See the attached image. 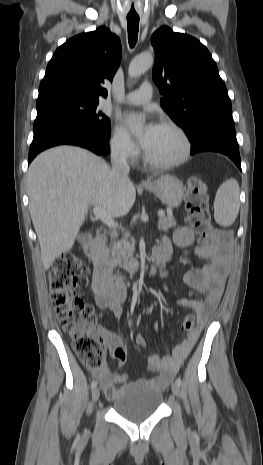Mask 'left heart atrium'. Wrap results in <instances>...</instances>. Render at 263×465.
I'll list each match as a JSON object with an SVG mask.
<instances>
[{
  "label": "left heart atrium",
  "instance_id": "39dd6f15",
  "mask_svg": "<svg viewBox=\"0 0 263 465\" xmlns=\"http://www.w3.org/2000/svg\"><path fill=\"white\" fill-rule=\"evenodd\" d=\"M135 119H136V116L133 115V114H130V115H127L125 117L124 122L128 127H130L134 123ZM158 127H159L158 124L151 121V122L148 123V125L144 129L143 133L139 136V141H140V143L142 144V146L144 148H146L150 144V142H151L153 136L155 135Z\"/></svg>",
  "mask_w": 263,
  "mask_h": 465
}]
</instances>
